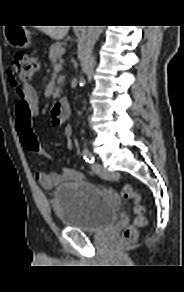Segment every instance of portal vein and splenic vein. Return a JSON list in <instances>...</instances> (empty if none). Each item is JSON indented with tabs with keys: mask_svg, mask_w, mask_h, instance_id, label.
<instances>
[{
	"mask_svg": "<svg viewBox=\"0 0 184 292\" xmlns=\"http://www.w3.org/2000/svg\"><path fill=\"white\" fill-rule=\"evenodd\" d=\"M62 69V65L61 64H57L56 66H55V70L56 71H59V70H61Z\"/></svg>",
	"mask_w": 184,
	"mask_h": 292,
	"instance_id": "18ae733b",
	"label": "portal vein and splenic vein"
}]
</instances>
